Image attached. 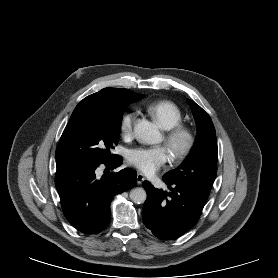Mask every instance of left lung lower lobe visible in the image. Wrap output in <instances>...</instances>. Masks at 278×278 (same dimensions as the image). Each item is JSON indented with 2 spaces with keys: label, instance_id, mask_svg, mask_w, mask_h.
Wrapping results in <instances>:
<instances>
[{
  "label": "left lung lower lobe",
  "instance_id": "0a47b994",
  "mask_svg": "<svg viewBox=\"0 0 278 278\" xmlns=\"http://www.w3.org/2000/svg\"><path fill=\"white\" fill-rule=\"evenodd\" d=\"M163 181L169 191L145 181L147 192L142 216L145 226L159 239L171 240L190 230L198 221L211 190L187 183Z\"/></svg>",
  "mask_w": 278,
  "mask_h": 278
}]
</instances>
